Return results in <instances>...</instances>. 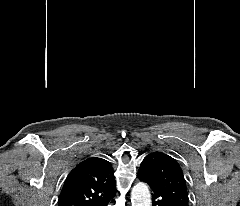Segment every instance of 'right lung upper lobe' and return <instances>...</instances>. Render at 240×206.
Listing matches in <instances>:
<instances>
[{"mask_svg": "<svg viewBox=\"0 0 240 206\" xmlns=\"http://www.w3.org/2000/svg\"><path fill=\"white\" fill-rule=\"evenodd\" d=\"M115 192L111 164L102 158H88L79 163L67 177L58 206H95Z\"/></svg>", "mask_w": 240, "mask_h": 206, "instance_id": "obj_1", "label": "right lung upper lobe"}]
</instances>
